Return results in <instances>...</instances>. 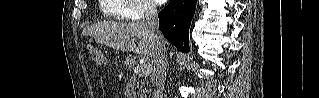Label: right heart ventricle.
<instances>
[{
    "mask_svg": "<svg viewBox=\"0 0 319 98\" xmlns=\"http://www.w3.org/2000/svg\"><path fill=\"white\" fill-rule=\"evenodd\" d=\"M129 7L127 0H103L101 9L106 17L117 19L122 17Z\"/></svg>",
    "mask_w": 319,
    "mask_h": 98,
    "instance_id": "obj_1",
    "label": "right heart ventricle"
}]
</instances>
